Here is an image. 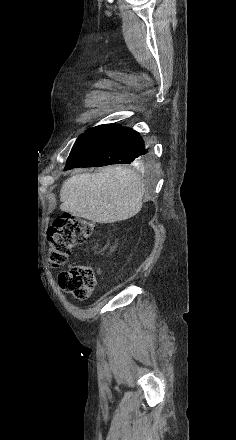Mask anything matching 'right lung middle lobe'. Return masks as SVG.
Segmentation results:
<instances>
[{"mask_svg":"<svg viewBox=\"0 0 236 440\" xmlns=\"http://www.w3.org/2000/svg\"><path fill=\"white\" fill-rule=\"evenodd\" d=\"M146 161V157H143L142 159L139 160L140 163H144Z\"/></svg>","mask_w":236,"mask_h":440,"instance_id":"1","label":"right lung middle lobe"}]
</instances>
